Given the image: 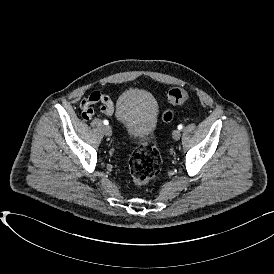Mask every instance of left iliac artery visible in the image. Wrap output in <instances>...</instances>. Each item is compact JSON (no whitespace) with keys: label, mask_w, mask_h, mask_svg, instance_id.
I'll use <instances>...</instances> for the list:
<instances>
[{"label":"left iliac artery","mask_w":274,"mask_h":274,"mask_svg":"<svg viewBox=\"0 0 274 274\" xmlns=\"http://www.w3.org/2000/svg\"><path fill=\"white\" fill-rule=\"evenodd\" d=\"M183 128V125H178V129L181 130Z\"/></svg>","instance_id":"44dca946"}]
</instances>
